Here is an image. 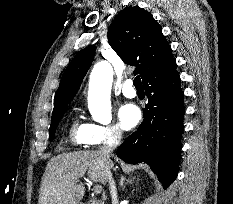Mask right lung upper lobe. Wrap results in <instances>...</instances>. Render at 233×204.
<instances>
[{
    "label": "right lung upper lobe",
    "mask_w": 233,
    "mask_h": 204,
    "mask_svg": "<svg viewBox=\"0 0 233 204\" xmlns=\"http://www.w3.org/2000/svg\"><path fill=\"white\" fill-rule=\"evenodd\" d=\"M108 42L127 64L136 66L143 83L152 75L176 62L161 26L144 9L126 7L114 19L108 30ZM95 53L94 46L78 52L67 66L54 99L52 118L65 112L77 93Z\"/></svg>",
    "instance_id": "1"
}]
</instances>
